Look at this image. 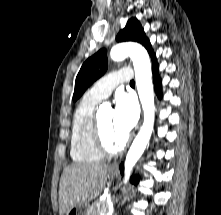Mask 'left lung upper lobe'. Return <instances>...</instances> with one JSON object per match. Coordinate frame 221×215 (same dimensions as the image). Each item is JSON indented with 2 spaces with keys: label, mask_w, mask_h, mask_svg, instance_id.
Segmentation results:
<instances>
[{
  "label": "left lung upper lobe",
  "mask_w": 221,
  "mask_h": 215,
  "mask_svg": "<svg viewBox=\"0 0 221 215\" xmlns=\"http://www.w3.org/2000/svg\"><path fill=\"white\" fill-rule=\"evenodd\" d=\"M116 40L118 42H138L147 49L151 57L155 55L149 39L146 37L141 24L136 18L128 20L125 28L117 35ZM107 66L106 49L99 50L84 62L76 77L73 101L79 99L86 89L106 72Z\"/></svg>",
  "instance_id": "obj_1"
}]
</instances>
